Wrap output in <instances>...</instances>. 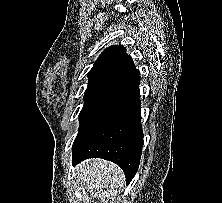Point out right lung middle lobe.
Returning a JSON list of instances; mask_svg holds the SVG:
<instances>
[{"label": "right lung middle lobe", "instance_id": "1", "mask_svg": "<svg viewBox=\"0 0 222 203\" xmlns=\"http://www.w3.org/2000/svg\"><path fill=\"white\" fill-rule=\"evenodd\" d=\"M113 94L103 91L86 90L84 94V106L80 112V123L105 104Z\"/></svg>", "mask_w": 222, "mask_h": 203}]
</instances>
